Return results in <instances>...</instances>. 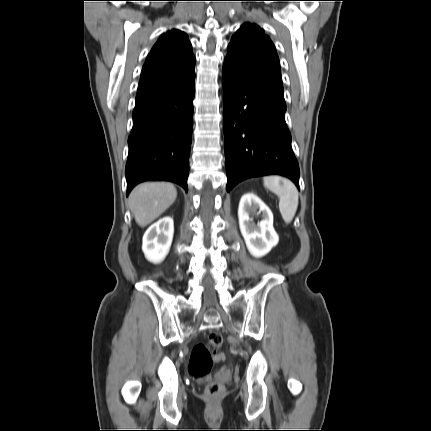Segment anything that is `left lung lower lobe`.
<instances>
[{
	"label": "left lung lower lobe",
	"instance_id": "left-lung-lower-lobe-1",
	"mask_svg": "<svg viewBox=\"0 0 431 431\" xmlns=\"http://www.w3.org/2000/svg\"><path fill=\"white\" fill-rule=\"evenodd\" d=\"M227 191L270 174L290 178L299 189V166L285 122L284 97L222 70Z\"/></svg>",
	"mask_w": 431,
	"mask_h": 431
}]
</instances>
